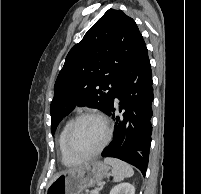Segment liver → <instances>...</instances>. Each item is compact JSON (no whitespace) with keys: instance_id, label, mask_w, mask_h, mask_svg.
<instances>
[{"instance_id":"1","label":"liver","mask_w":201,"mask_h":194,"mask_svg":"<svg viewBox=\"0 0 201 194\" xmlns=\"http://www.w3.org/2000/svg\"><path fill=\"white\" fill-rule=\"evenodd\" d=\"M63 173H65V172H63ZM60 174H62V173H60ZM60 174H57V175L54 177V179H55L58 175H60ZM54 179H53L52 181H54ZM52 181H51V183H52Z\"/></svg>"}]
</instances>
